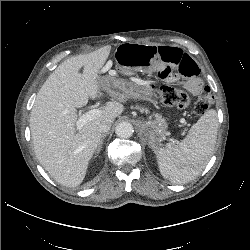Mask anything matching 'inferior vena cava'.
<instances>
[{"label": "inferior vena cava", "mask_w": 250, "mask_h": 250, "mask_svg": "<svg viewBox=\"0 0 250 250\" xmlns=\"http://www.w3.org/2000/svg\"><path fill=\"white\" fill-rule=\"evenodd\" d=\"M113 123V120H106L100 123L99 125V132L100 133H106L110 130V127Z\"/></svg>", "instance_id": "inferior-vena-cava-1"}]
</instances>
